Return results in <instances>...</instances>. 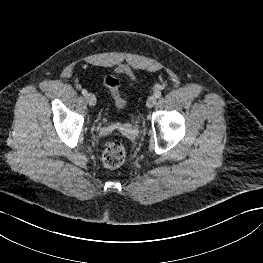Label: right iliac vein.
Returning a JSON list of instances; mask_svg holds the SVG:
<instances>
[{
    "mask_svg": "<svg viewBox=\"0 0 263 263\" xmlns=\"http://www.w3.org/2000/svg\"><path fill=\"white\" fill-rule=\"evenodd\" d=\"M85 99H86V101H87L89 106H95V104H96V97H95L94 94L88 93L86 95Z\"/></svg>",
    "mask_w": 263,
    "mask_h": 263,
    "instance_id": "obj_1",
    "label": "right iliac vein"
}]
</instances>
